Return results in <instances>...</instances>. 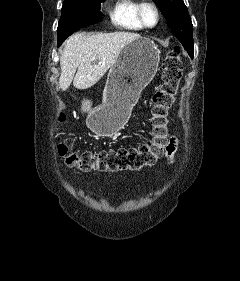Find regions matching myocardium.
Wrapping results in <instances>:
<instances>
[{
	"label": "myocardium",
	"instance_id": "1",
	"mask_svg": "<svg viewBox=\"0 0 240 281\" xmlns=\"http://www.w3.org/2000/svg\"><path fill=\"white\" fill-rule=\"evenodd\" d=\"M147 7H150L155 13L156 19H155V22L153 24H149L145 20L144 10ZM137 16H138V19H139L140 23L142 24V26L144 28H149V29L154 28L161 21L160 9H159L158 5L152 0H142L141 2H139L138 7H137Z\"/></svg>",
	"mask_w": 240,
	"mask_h": 281
}]
</instances>
